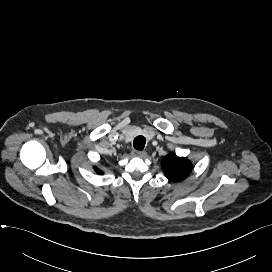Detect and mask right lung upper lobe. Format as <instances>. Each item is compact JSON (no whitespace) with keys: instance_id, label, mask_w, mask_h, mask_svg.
Returning a JSON list of instances; mask_svg holds the SVG:
<instances>
[{"instance_id":"cb5924a9","label":"right lung upper lobe","mask_w":272,"mask_h":272,"mask_svg":"<svg viewBox=\"0 0 272 272\" xmlns=\"http://www.w3.org/2000/svg\"><path fill=\"white\" fill-rule=\"evenodd\" d=\"M95 171H96L98 174H101V173H102V171H101L100 169H98V168H95Z\"/></svg>"}]
</instances>
